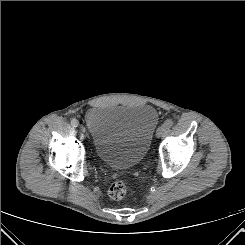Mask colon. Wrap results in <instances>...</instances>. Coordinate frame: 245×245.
<instances>
[{
    "instance_id": "obj_1",
    "label": "colon",
    "mask_w": 245,
    "mask_h": 245,
    "mask_svg": "<svg viewBox=\"0 0 245 245\" xmlns=\"http://www.w3.org/2000/svg\"><path fill=\"white\" fill-rule=\"evenodd\" d=\"M131 185L126 181L114 182L108 190L109 197L113 200H122L131 193Z\"/></svg>"
}]
</instances>
